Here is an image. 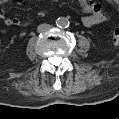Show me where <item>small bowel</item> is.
Segmentation results:
<instances>
[{
	"mask_svg": "<svg viewBox=\"0 0 119 119\" xmlns=\"http://www.w3.org/2000/svg\"><path fill=\"white\" fill-rule=\"evenodd\" d=\"M15 3L19 4L21 3V1H15ZM79 4L85 12L89 13L82 18V23L84 24V26L94 27L108 20V16L103 11L100 3L91 0H80ZM0 17L6 25L18 26L22 24L21 20L16 17H11L5 12H1Z\"/></svg>",
	"mask_w": 119,
	"mask_h": 119,
	"instance_id": "small-bowel-1",
	"label": "small bowel"
}]
</instances>
